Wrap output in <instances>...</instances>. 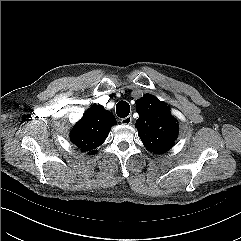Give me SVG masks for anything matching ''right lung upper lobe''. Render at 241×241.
Listing matches in <instances>:
<instances>
[{"label": "right lung upper lobe", "instance_id": "right-lung-upper-lobe-1", "mask_svg": "<svg viewBox=\"0 0 241 241\" xmlns=\"http://www.w3.org/2000/svg\"><path fill=\"white\" fill-rule=\"evenodd\" d=\"M116 124L114 115L100 105H92L74 126L70 140L83 152L96 153V147L106 139Z\"/></svg>", "mask_w": 241, "mask_h": 241}]
</instances>
